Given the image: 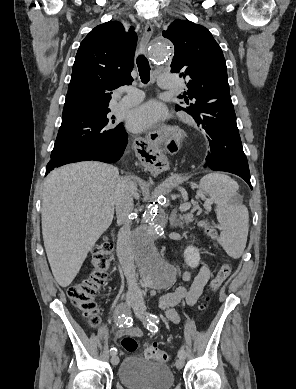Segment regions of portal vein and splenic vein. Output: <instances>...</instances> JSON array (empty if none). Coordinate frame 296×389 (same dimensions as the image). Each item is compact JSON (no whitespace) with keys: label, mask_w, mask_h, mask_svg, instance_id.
I'll return each instance as SVG.
<instances>
[{"label":"portal vein and splenic vein","mask_w":296,"mask_h":389,"mask_svg":"<svg viewBox=\"0 0 296 389\" xmlns=\"http://www.w3.org/2000/svg\"><path fill=\"white\" fill-rule=\"evenodd\" d=\"M190 207H191V204H190V203H184V204L180 205L179 210H180L181 212H184V211L189 210Z\"/></svg>","instance_id":"portal-vein-and-splenic-vein-1"}]
</instances>
